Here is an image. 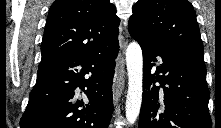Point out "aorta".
<instances>
[{
  "label": "aorta",
  "mask_w": 221,
  "mask_h": 128,
  "mask_svg": "<svg viewBox=\"0 0 221 128\" xmlns=\"http://www.w3.org/2000/svg\"><path fill=\"white\" fill-rule=\"evenodd\" d=\"M126 64L128 72V92L125 111L127 121L133 124L140 113L143 84V55L140 45L135 41L127 47Z\"/></svg>",
  "instance_id": "762f6f07"
}]
</instances>
